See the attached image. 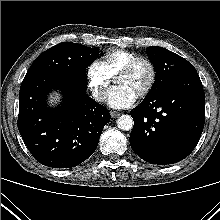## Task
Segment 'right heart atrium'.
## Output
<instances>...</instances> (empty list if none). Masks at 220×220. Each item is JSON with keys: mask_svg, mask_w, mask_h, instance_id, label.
<instances>
[{"mask_svg": "<svg viewBox=\"0 0 220 220\" xmlns=\"http://www.w3.org/2000/svg\"><path fill=\"white\" fill-rule=\"evenodd\" d=\"M86 76L93 98L97 101H102L113 77L104 61L100 59L93 60L87 67Z\"/></svg>", "mask_w": 220, "mask_h": 220, "instance_id": "right-heart-atrium-1", "label": "right heart atrium"}]
</instances>
